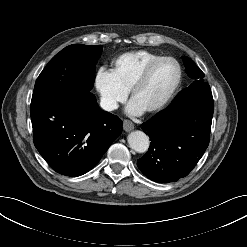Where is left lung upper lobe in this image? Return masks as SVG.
<instances>
[{
  "label": "left lung upper lobe",
  "instance_id": "5c2ea615",
  "mask_svg": "<svg viewBox=\"0 0 247 247\" xmlns=\"http://www.w3.org/2000/svg\"><path fill=\"white\" fill-rule=\"evenodd\" d=\"M183 61L188 76L193 78L195 81L188 88H185L182 91H180L172 102L183 98L186 94H188L193 89L203 84H207L203 81V77L205 76L204 73L190 58L184 56Z\"/></svg>",
  "mask_w": 247,
  "mask_h": 247
}]
</instances>
